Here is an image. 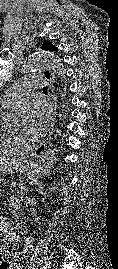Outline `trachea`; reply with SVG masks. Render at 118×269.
I'll use <instances>...</instances> for the list:
<instances>
[{
	"label": "trachea",
	"mask_w": 118,
	"mask_h": 269,
	"mask_svg": "<svg viewBox=\"0 0 118 269\" xmlns=\"http://www.w3.org/2000/svg\"><path fill=\"white\" fill-rule=\"evenodd\" d=\"M43 92L47 93L48 92V87H43Z\"/></svg>",
	"instance_id": "3493384b"
}]
</instances>
